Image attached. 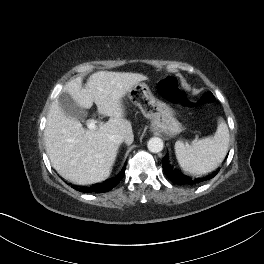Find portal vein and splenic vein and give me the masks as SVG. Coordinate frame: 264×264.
<instances>
[{
  "instance_id": "portal-vein-and-splenic-vein-1",
  "label": "portal vein and splenic vein",
  "mask_w": 264,
  "mask_h": 264,
  "mask_svg": "<svg viewBox=\"0 0 264 264\" xmlns=\"http://www.w3.org/2000/svg\"><path fill=\"white\" fill-rule=\"evenodd\" d=\"M96 123H97V121L96 120H89L88 122H87V127L89 128V129H95L96 128Z\"/></svg>"
}]
</instances>
